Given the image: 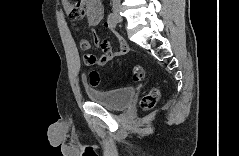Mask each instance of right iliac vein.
Segmentation results:
<instances>
[{
  "label": "right iliac vein",
  "mask_w": 239,
  "mask_h": 156,
  "mask_svg": "<svg viewBox=\"0 0 239 156\" xmlns=\"http://www.w3.org/2000/svg\"><path fill=\"white\" fill-rule=\"evenodd\" d=\"M113 14L118 22H122V17L120 16V9L114 8Z\"/></svg>",
  "instance_id": "right-iliac-vein-1"
}]
</instances>
